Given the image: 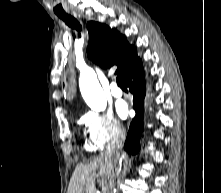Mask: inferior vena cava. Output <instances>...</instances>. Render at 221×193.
Segmentation results:
<instances>
[{
	"instance_id": "602c4592",
	"label": "inferior vena cava",
	"mask_w": 221,
	"mask_h": 193,
	"mask_svg": "<svg viewBox=\"0 0 221 193\" xmlns=\"http://www.w3.org/2000/svg\"><path fill=\"white\" fill-rule=\"evenodd\" d=\"M125 141V132L122 129H118L112 136L110 145L108 146V152L114 155L115 172L112 174L110 179V186L108 193H112L114 187V178L119 175L122 165V158L119 150L122 149Z\"/></svg>"
}]
</instances>
